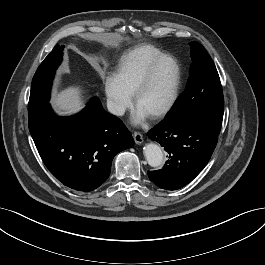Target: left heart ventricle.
Returning a JSON list of instances; mask_svg holds the SVG:
<instances>
[{"instance_id":"left-heart-ventricle-1","label":"left heart ventricle","mask_w":265,"mask_h":265,"mask_svg":"<svg viewBox=\"0 0 265 265\" xmlns=\"http://www.w3.org/2000/svg\"><path fill=\"white\" fill-rule=\"evenodd\" d=\"M175 80V69L171 60L162 61L156 68L150 83L139 97L136 108L147 115L160 109L168 100Z\"/></svg>"}]
</instances>
